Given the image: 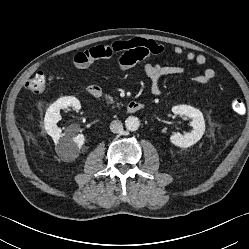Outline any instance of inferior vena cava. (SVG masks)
Returning <instances> with one entry per match:
<instances>
[{"label":"inferior vena cava","mask_w":249,"mask_h":249,"mask_svg":"<svg viewBox=\"0 0 249 249\" xmlns=\"http://www.w3.org/2000/svg\"><path fill=\"white\" fill-rule=\"evenodd\" d=\"M110 130L113 133H120L123 130V126H122L121 121H119V120H113L110 123Z\"/></svg>","instance_id":"obj_1"}]
</instances>
